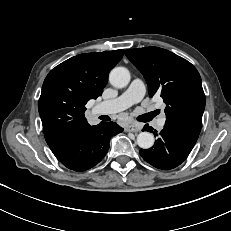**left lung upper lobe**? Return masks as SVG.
Segmentation results:
<instances>
[{
  "label": "left lung upper lobe",
  "mask_w": 231,
  "mask_h": 231,
  "mask_svg": "<svg viewBox=\"0 0 231 231\" xmlns=\"http://www.w3.org/2000/svg\"><path fill=\"white\" fill-rule=\"evenodd\" d=\"M125 54L146 79L150 97L161 94L166 103L165 123L198 138L205 96L196 68L184 58L158 47L128 49Z\"/></svg>",
  "instance_id": "obj_1"
}]
</instances>
